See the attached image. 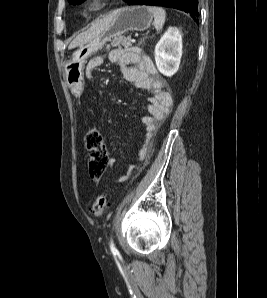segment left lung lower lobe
Instances as JSON below:
<instances>
[{"instance_id": "1", "label": "left lung lower lobe", "mask_w": 267, "mask_h": 298, "mask_svg": "<svg viewBox=\"0 0 267 298\" xmlns=\"http://www.w3.org/2000/svg\"><path fill=\"white\" fill-rule=\"evenodd\" d=\"M128 5H156L182 10L198 23V0H127Z\"/></svg>"}]
</instances>
